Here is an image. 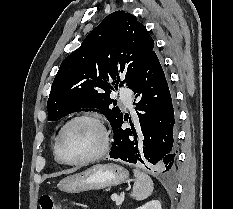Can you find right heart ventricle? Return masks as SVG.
Segmentation results:
<instances>
[{
  "label": "right heart ventricle",
  "mask_w": 233,
  "mask_h": 209,
  "mask_svg": "<svg viewBox=\"0 0 233 209\" xmlns=\"http://www.w3.org/2000/svg\"><path fill=\"white\" fill-rule=\"evenodd\" d=\"M55 145V144H54ZM53 153H54V155H55V152H54V146H53ZM58 161V160H57Z\"/></svg>",
  "instance_id": "obj_1"
}]
</instances>
